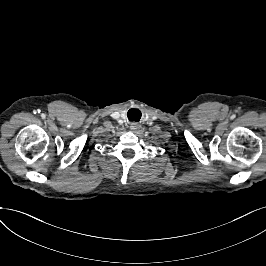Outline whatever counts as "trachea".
Wrapping results in <instances>:
<instances>
[{"label": "trachea", "instance_id": "1", "mask_svg": "<svg viewBox=\"0 0 266 266\" xmlns=\"http://www.w3.org/2000/svg\"><path fill=\"white\" fill-rule=\"evenodd\" d=\"M130 120H133V114L131 113L130 116H128Z\"/></svg>", "mask_w": 266, "mask_h": 266}]
</instances>
